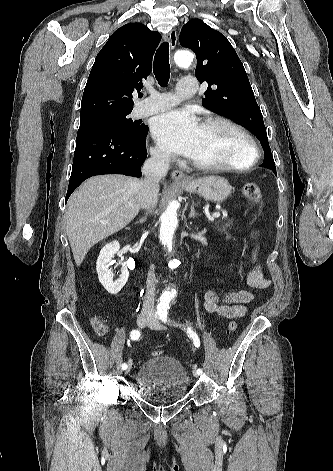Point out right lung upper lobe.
<instances>
[{
	"instance_id": "1",
	"label": "right lung upper lobe",
	"mask_w": 333,
	"mask_h": 471,
	"mask_svg": "<svg viewBox=\"0 0 333 471\" xmlns=\"http://www.w3.org/2000/svg\"><path fill=\"white\" fill-rule=\"evenodd\" d=\"M161 35L141 23L116 30L98 53L84 89L80 120L132 111L133 91L143 88Z\"/></svg>"
}]
</instances>
